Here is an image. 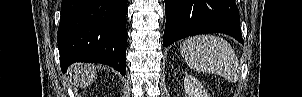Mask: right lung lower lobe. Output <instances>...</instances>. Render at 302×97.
Instances as JSON below:
<instances>
[{
    "label": "right lung lower lobe",
    "instance_id": "98d812e1",
    "mask_svg": "<svg viewBox=\"0 0 302 97\" xmlns=\"http://www.w3.org/2000/svg\"><path fill=\"white\" fill-rule=\"evenodd\" d=\"M127 0H62L58 49L64 72L74 62L106 64L125 74Z\"/></svg>",
    "mask_w": 302,
    "mask_h": 97
}]
</instances>
